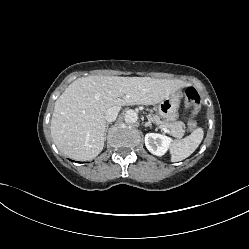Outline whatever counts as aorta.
<instances>
[{
    "instance_id": "aorta-1",
    "label": "aorta",
    "mask_w": 249,
    "mask_h": 249,
    "mask_svg": "<svg viewBox=\"0 0 249 249\" xmlns=\"http://www.w3.org/2000/svg\"><path fill=\"white\" fill-rule=\"evenodd\" d=\"M124 118L127 123H135L138 120V114L134 110H128Z\"/></svg>"
}]
</instances>
